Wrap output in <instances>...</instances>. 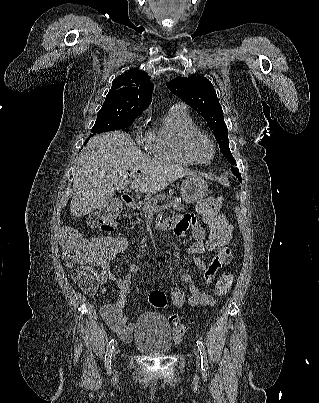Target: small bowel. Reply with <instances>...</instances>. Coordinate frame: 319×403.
Wrapping results in <instances>:
<instances>
[{
	"label": "small bowel",
	"instance_id": "c3829d8e",
	"mask_svg": "<svg viewBox=\"0 0 319 403\" xmlns=\"http://www.w3.org/2000/svg\"><path fill=\"white\" fill-rule=\"evenodd\" d=\"M202 203H199L198 210L201 212ZM173 220V231L178 237H185L187 232L190 230L194 242L190 244L187 248L189 254H194V264L198 269H200L204 274V279L206 283L212 281L215 273L224 265L230 264L232 261L231 252L228 247H219L214 250L212 247H208V240H205V231L203 227L198 223L196 217L192 214H185L182 216H176L172 218ZM88 241V238H84ZM205 251H214L215 256L213 260L207 263L202 255ZM67 258V256L65 255ZM68 259V258H67ZM113 258H99L96 261H92L89 264L95 268V272L98 275L99 282L104 284L108 281H112L116 284L119 289L118 299L111 304H105L100 308V313L105 322L109 327L114 330L121 339L124 341H130L132 339V334L135 326L128 321V318L123 312L127 297L132 291V279L137 273L138 267L136 264H130L128 271L124 277H119L115 275L110 269V261ZM66 266L68 268H73L75 263L71 261H66ZM190 275L184 273L182 275V280L184 282V277ZM184 284L187 286L190 295L186 298L184 292L179 287H172L170 289V295L173 305L176 308H181L186 302L191 306H214L216 300L214 296L210 293L201 291L195 285L194 281L191 284Z\"/></svg>",
	"mask_w": 319,
	"mask_h": 403
}]
</instances>
